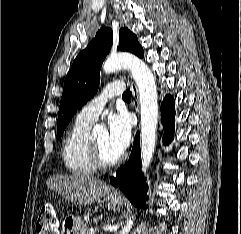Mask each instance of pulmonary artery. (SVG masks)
Here are the masks:
<instances>
[{"label": "pulmonary artery", "mask_w": 241, "mask_h": 234, "mask_svg": "<svg viewBox=\"0 0 241 234\" xmlns=\"http://www.w3.org/2000/svg\"><path fill=\"white\" fill-rule=\"evenodd\" d=\"M124 92V86L120 82H112L104 87L101 94L86 104L77 114L76 119L82 122L94 123L108 99L121 95Z\"/></svg>", "instance_id": "pulmonary-artery-1"}]
</instances>
